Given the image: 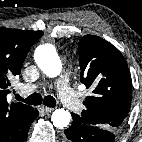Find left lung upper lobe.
Returning a JSON list of instances; mask_svg holds the SVG:
<instances>
[{"label": "left lung upper lobe", "instance_id": "5c2ea615", "mask_svg": "<svg viewBox=\"0 0 142 142\" xmlns=\"http://www.w3.org/2000/svg\"><path fill=\"white\" fill-rule=\"evenodd\" d=\"M80 78L93 94L83 102L82 124L118 132L124 124L132 99V84L121 52L106 40L85 35L78 45Z\"/></svg>", "mask_w": 142, "mask_h": 142}]
</instances>
